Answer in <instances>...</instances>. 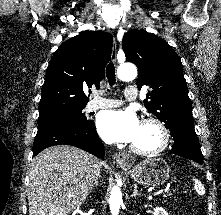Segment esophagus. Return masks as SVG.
Here are the masks:
<instances>
[{"instance_id": "1", "label": "esophagus", "mask_w": 221, "mask_h": 215, "mask_svg": "<svg viewBox=\"0 0 221 215\" xmlns=\"http://www.w3.org/2000/svg\"><path fill=\"white\" fill-rule=\"evenodd\" d=\"M111 60L114 64H116V62H117L116 40L113 41ZM116 162L122 168H130L134 164L135 159L132 155L123 152V153H118L116 155Z\"/></svg>"}]
</instances>
